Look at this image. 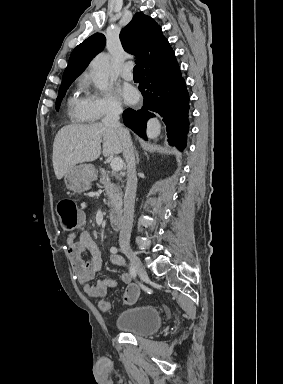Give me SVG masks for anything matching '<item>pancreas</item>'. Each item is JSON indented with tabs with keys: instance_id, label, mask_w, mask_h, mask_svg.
Returning a JSON list of instances; mask_svg holds the SVG:
<instances>
[{
	"instance_id": "cf45deb5",
	"label": "pancreas",
	"mask_w": 283,
	"mask_h": 384,
	"mask_svg": "<svg viewBox=\"0 0 283 384\" xmlns=\"http://www.w3.org/2000/svg\"><path fill=\"white\" fill-rule=\"evenodd\" d=\"M102 176H100V184H103L106 190V204L110 208V216L117 214L122 206V190L119 184H114L113 180H118L116 172H106L100 168Z\"/></svg>"
}]
</instances>
